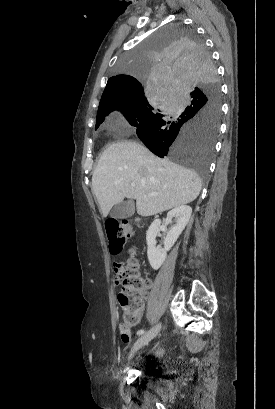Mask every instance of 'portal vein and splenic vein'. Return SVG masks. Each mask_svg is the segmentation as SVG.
<instances>
[{
	"mask_svg": "<svg viewBox=\"0 0 275 409\" xmlns=\"http://www.w3.org/2000/svg\"><path fill=\"white\" fill-rule=\"evenodd\" d=\"M131 186H135V182H131Z\"/></svg>",
	"mask_w": 275,
	"mask_h": 409,
	"instance_id": "18ae733b",
	"label": "portal vein and splenic vein"
}]
</instances>
